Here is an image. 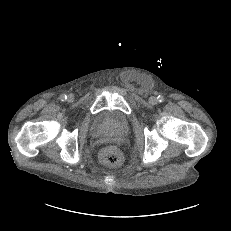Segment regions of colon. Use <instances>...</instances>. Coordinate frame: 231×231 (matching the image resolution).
<instances>
[{
  "mask_svg": "<svg viewBox=\"0 0 231 231\" xmlns=\"http://www.w3.org/2000/svg\"><path fill=\"white\" fill-rule=\"evenodd\" d=\"M101 161L108 166H116L121 162L120 151L114 145H107L100 152Z\"/></svg>",
  "mask_w": 231,
  "mask_h": 231,
  "instance_id": "5ec220e1",
  "label": "colon"
}]
</instances>
